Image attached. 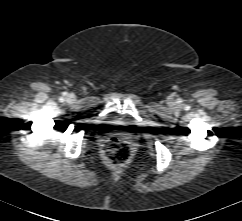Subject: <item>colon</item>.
Here are the masks:
<instances>
[{
	"label": "colon",
	"instance_id": "5ec220e1",
	"mask_svg": "<svg viewBox=\"0 0 242 221\" xmlns=\"http://www.w3.org/2000/svg\"><path fill=\"white\" fill-rule=\"evenodd\" d=\"M105 155L112 164H124L131 156V145L126 141L110 140L105 145Z\"/></svg>",
	"mask_w": 242,
	"mask_h": 221
}]
</instances>
